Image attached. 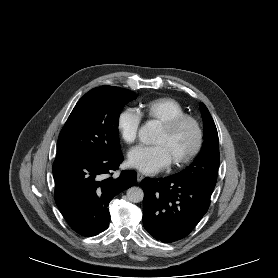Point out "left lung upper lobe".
<instances>
[{
	"mask_svg": "<svg viewBox=\"0 0 278 278\" xmlns=\"http://www.w3.org/2000/svg\"><path fill=\"white\" fill-rule=\"evenodd\" d=\"M200 109L205 139L202 150L189 167L172 177L178 180H193L215 185L220 162L218 133L207 107L200 103Z\"/></svg>",
	"mask_w": 278,
	"mask_h": 278,
	"instance_id": "obj_1",
	"label": "left lung upper lobe"
}]
</instances>
